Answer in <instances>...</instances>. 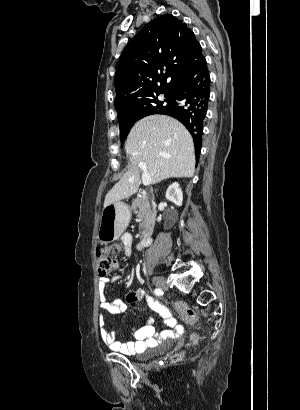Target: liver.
Masks as SVG:
<instances>
[{
    "label": "liver",
    "instance_id": "obj_1",
    "mask_svg": "<svg viewBox=\"0 0 300 410\" xmlns=\"http://www.w3.org/2000/svg\"><path fill=\"white\" fill-rule=\"evenodd\" d=\"M125 151L131 166L107 193L104 207L129 198L138 191L140 163L146 164L151 184L171 177L190 178L194 175L192 136L184 125L172 117L151 115L138 121L127 137Z\"/></svg>",
    "mask_w": 300,
    "mask_h": 410
}]
</instances>
